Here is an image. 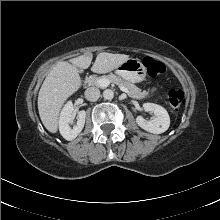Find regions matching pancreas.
I'll use <instances>...</instances> for the list:
<instances>
[{"mask_svg": "<svg viewBox=\"0 0 220 220\" xmlns=\"http://www.w3.org/2000/svg\"><path fill=\"white\" fill-rule=\"evenodd\" d=\"M100 78H106L108 80H110V82L118 84V85H122L125 88L128 89L129 93L128 95L132 98H136V99H143L149 96V93L146 91H142L140 88H138L136 85H134L131 82L125 81L123 80L121 77L115 75V74H109V75H104L102 77H90L88 79V83L90 85H96L97 84V80Z\"/></svg>", "mask_w": 220, "mask_h": 220, "instance_id": "pancreas-1", "label": "pancreas"}]
</instances>
